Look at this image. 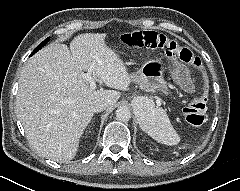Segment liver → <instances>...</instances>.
Listing matches in <instances>:
<instances>
[{"mask_svg":"<svg viewBox=\"0 0 240 191\" xmlns=\"http://www.w3.org/2000/svg\"><path fill=\"white\" fill-rule=\"evenodd\" d=\"M105 37L85 33L76 36L69 48L50 44L24 65L16 113L30 145L43 157L61 163L72 160L93 117V105L104 102L113 108L121 96L119 90L130 85L127 68L105 45ZM85 72L114 90L90 91Z\"/></svg>","mask_w":240,"mask_h":191,"instance_id":"6515ba94","label":"liver"}]
</instances>
